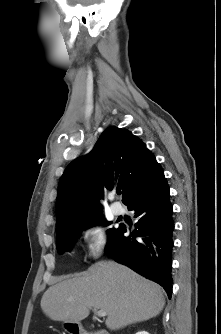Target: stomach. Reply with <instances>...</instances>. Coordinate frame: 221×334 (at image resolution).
<instances>
[{
	"mask_svg": "<svg viewBox=\"0 0 221 334\" xmlns=\"http://www.w3.org/2000/svg\"><path fill=\"white\" fill-rule=\"evenodd\" d=\"M67 326H68V323H65V324H64V327L66 328Z\"/></svg>",
	"mask_w": 221,
	"mask_h": 334,
	"instance_id": "0dacf381",
	"label": "stomach"
}]
</instances>
